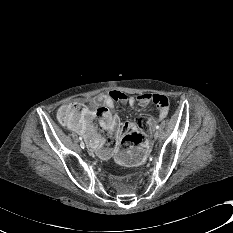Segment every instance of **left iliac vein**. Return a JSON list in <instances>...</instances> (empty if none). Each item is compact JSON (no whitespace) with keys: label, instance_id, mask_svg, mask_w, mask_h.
I'll return each instance as SVG.
<instances>
[{"label":"left iliac vein","instance_id":"obj_1","mask_svg":"<svg viewBox=\"0 0 233 233\" xmlns=\"http://www.w3.org/2000/svg\"><path fill=\"white\" fill-rule=\"evenodd\" d=\"M153 138H154V140H157L159 138V132L157 130H155V132L153 134Z\"/></svg>","mask_w":233,"mask_h":233}]
</instances>
